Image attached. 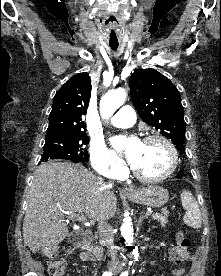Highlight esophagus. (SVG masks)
<instances>
[{"mask_svg": "<svg viewBox=\"0 0 221 276\" xmlns=\"http://www.w3.org/2000/svg\"><path fill=\"white\" fill-rule=\"evenodd\" d=\"M134 190L132 189V188H127V187H125L124 189H123V192H125V193H131V192H133Z\"/></svg>", "mask_w": 221, "mask_h": 276, "instance_id": "34e87169", "label": "esophagus"}]
</instances>
